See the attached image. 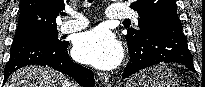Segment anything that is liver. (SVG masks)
Segmentation results:
<instances>
[{
	"instance_id": "obj_1",
	"label": "liver",
	"mask_w": 205,
	"mask_h": 87,
	"mask_svg": "<svg viewBox=\"0 0 205 87\" xmlns=\"http://www.w3.org/2000/svg\"><path fill=\"white\" fill-rule=\"evenodd\" d=\"M4 87H71V84L52 68L26 66L13 73Z\"/></svg>"
}]
</instances>
